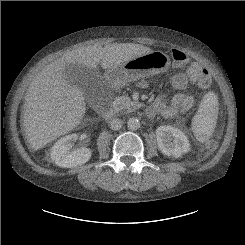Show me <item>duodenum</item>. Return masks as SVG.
I'll list each match as a JSON object with an SVG mask.
<instances>
[{"mask_svg":"<svg viewBox=\"0 0 245 245\" xmlns=\"http://www.w3.org/2000/svg\"><path fill=\"white\" fill-rule=\"evenodd\" d=\"M110 86L111 88H116L118 87V80H115V79H112L110 81ZM115 116V111L113 109H108L106 111L103 112V117L106 119V120H110L112 119L113 117Z\"/></svg>","mask_w":245,"mask_h":245,"instance_id":"duodenum-1","label":"duodenum"}]
</instances>
